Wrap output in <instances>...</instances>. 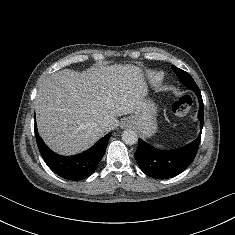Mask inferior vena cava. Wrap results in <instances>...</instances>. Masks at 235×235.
Returning a JSON list of instances; mask_svg holds the SVG:
<instances>
[{"instance_id":"1","label":"inferior vena cava","mask_w":235,"mask_h":235,"mask_svg":"<svg viewBox=\"0 0 235 235\" xmlns=\"http://www.w3.org/2000/svg\"><path fill=\"white\" fill-rule=\"evenodd\" d=\"M108 126V123L106 121H102L100 124V127L105 129Z\"/></svg>"}]
</instances>
